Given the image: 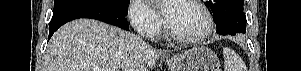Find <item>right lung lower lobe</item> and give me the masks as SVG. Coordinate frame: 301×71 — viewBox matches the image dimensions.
I'll return each instance as SVG.
<instances>
[{
	"label": "right lung lower lobe",
	"mask_w": 301,
	"mask_h": 71,
	"mask_svg": "<svg viewBox=\"0 0 301 71\" xmlns=\"http://www.w3.org/2000/svg\"><path fill=\"white\" fill-rule=\"evenodd\" d=\"M127 13H119L114 10L91 5H74L53 11L49 25V38L63 24L79 18H92L102 22L118 26L128 30L129 26L125 19Z\"/></svg>",
	"instance_id": "obj_1"
}]
</instances>
